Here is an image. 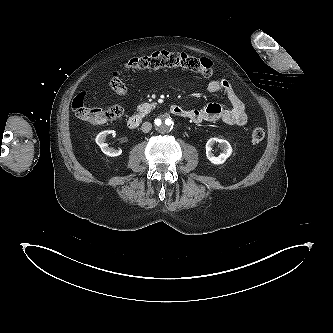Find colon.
<instances>
[{
    "label": "colon",
    "mask_w": 333,
    "mask_h": 333,
    "mask_svg": "<svg viewBox=\"0 0 333 333\" xmlns=\"http://www.w3.org/2000/svg\"><path fill=\"white\" fill-rule=\"evenodd\" d=\"M130 70H155L163 67H184L191 71L210 75L213 71V63L205 57H194L184 52L156 51L149 55L133 57L126 63ZM112 90L119 95L127 91L126 84L119 72H113L110 79ZM85 93L77 95L73 102V110L79 120L93 125H101L108 121L120 118L123 115V107L120 104H113L106 109L93 108L86 105ZM265 137V130L262 127L252 129L250 138L254 143L262 141Z\"/></svg>",
    "instance_id": "colon-1"
}]
</instances>
